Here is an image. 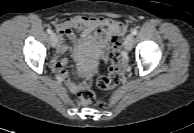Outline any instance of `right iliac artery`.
<instances>
[{
	"label": "right iliac artery",
	"mask_w": 194,
	"mask_h": 133,
	"mask_svg": "<svg viewBox=\"0 0 194 133\" xmlns=\"http://www.w3.org/2000/svg\"><path fill=\"white\" fill-rule=\"evenodd\" d=\"M47 32H48V34H52L51 28H48V29H47Z\"/></svg>",
	"instance_id": "right-iliac-artery-1"
}]
</instances>
